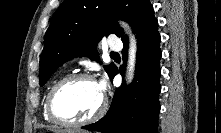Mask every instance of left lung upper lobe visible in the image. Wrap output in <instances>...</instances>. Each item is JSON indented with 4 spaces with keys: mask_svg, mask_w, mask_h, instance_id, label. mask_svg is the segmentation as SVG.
Wrapping results in <instances>:
<instances>
[{
    "mask_svg": "<svg viewBox=\"0 0 221 133\" xmlns=\"http://www.w3.org/2000/svg\"><path fill=\"white\" fill-rule=\"evenodd\" d=\"M126 20L138 34L156 18L150 0H64L54 13L40 57V85L64 62L76 56L99 61L95 48L104 35L127 41L117 20ZM110 76L115 65L104 66Z\"/></svg>",
    "mask_w": 221,
    "mask_h": 133,
    "instance_id": "obj_1",
    "label": "left lung upper lobe"
}]
</instances>
